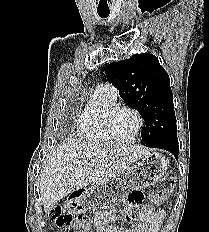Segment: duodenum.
Returning a JSON list of instances; mask_svg holds the SVG:
<instances>
[{"instance_id":"410a0bca","label":"duodenum","mask_w":209,"mask_h":232,"mask_svg":"<svg viewBox=\"0 0 209 232\" xmlns=\"http://www.w3.org/2000/svg\"><path fill=\"white\" fill-rule=\"evenodd\" d=\"M83 193V189H78L74 192V196L73 197H78L80 194Z\"/></svg>"}]
</instances>
